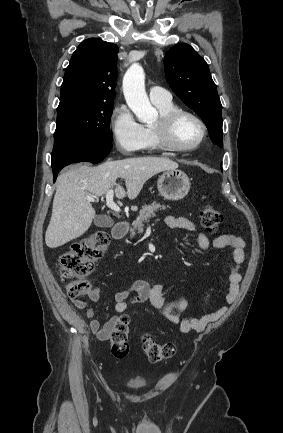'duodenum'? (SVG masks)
Segmentation results:
<instances>
[{"instance_id":"1","label":"duodenum","mask_w":283,"mask_h":433,"mask_svg":"<svg viewBox=\"0 0 283 433\" xmlns=\"http://www.w3.org/2000/svg\"><path fill=\"white\" fill-rule=\"evenodd\" d=\"M128 226L125 222L119 221L112 228V236L114 239H121L127 232Z\"/></svg>"}]
</instances>
